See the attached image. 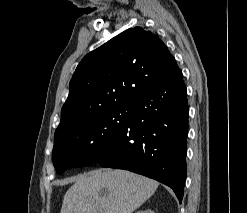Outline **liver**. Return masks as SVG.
Here are the masks:
<instances>
[{"instance_id": "obj_1", "label": "liver", "mask_w": 247, "mask_h": 213, "mask_svg": "<svg viewBox=\"0 0 247 213\" xmlns=\"http://www.w3.org/2000/svg\"><path fill=\"white\" fill-rule=\"evenodd\" d=\"M158 185L126 170H93L75 179L64 196L61 213H132ZM102 189L107 190L106 195Z\"/></svg>"}]
</instances>
